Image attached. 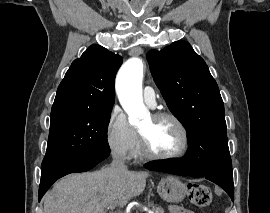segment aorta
Here are the masks:
<instances>
[{"instance_id":"aorta-1","label":"aorta","mask_w":270,"mask_h":213,"mask_svg":"<svg viewBox=\"0 0 270 213\" xmlns=\"http://www.w3.org/2000/svg\"><path fill=\"white\" fill-rule=\"evenodd\" d=\"M143 61L138 57L127 60L116 78V92L120 104L128 114L129 123L139 125L149 117L142 98Z\"/></svg>"}]
</instances>
